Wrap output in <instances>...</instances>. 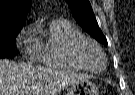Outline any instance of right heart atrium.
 Masks as SVG:
<instances>
[{"label": "right heart atrium", "mask_w": 135, "mask_h": 95, "mask_svg": "<svg viewBox=\"0 0 135 95\" xmlns=\"http://www.w3.org/2000/svg\"><path fill=\"white\" fill-rule=\"evenodd\" d=\"M33 30L31 26L25 27L17 37V45L21 52L32 60H37L38 42L33 39Z\"/></svg>", "instance_id": "right-heart-atrium-1"}]
</instances>
